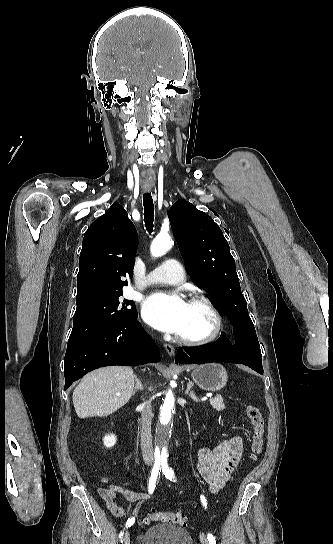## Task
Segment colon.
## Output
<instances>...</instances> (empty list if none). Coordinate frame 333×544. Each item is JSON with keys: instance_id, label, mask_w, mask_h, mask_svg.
<instances>
[{"instance_id": "1", "label": "colon", "mask_w": 333, "mask_h": 544, "mask_svg": "<svg viewBox=\"0 0 333 544\" xmlns=\"http://www.w3.org/2000/svg\"><path fill=\"white\" fill-rule=\"evenodd\" d=\"M245 413L252 426L251 456L253 459H257L263 449L264 419L260 409L254 405H247ZM145 522H168L184 526L187 523V517L180 511H153L146 516Z\"/></svg>"}]
</instances>
